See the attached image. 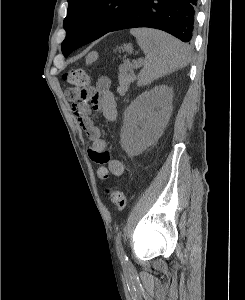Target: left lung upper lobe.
I'll return each instance as SVG.
<instances>
[{
  "mask_svg": "<svg viewBox=\"0 0 245 300\" xmlns=\"http://www.w3.org/2000/svg\"><path fill=\"white\" fill-rule=\"evenodd\" d=\"M136 0H68L62 52L68 55L93 37L103 36Z\"/></svg>",
  "mask_w": 245,
  "mask_h": 300,
  "instance_id": "obj_1",
  "label": "left lung upper lobe"
}]
</instances>
